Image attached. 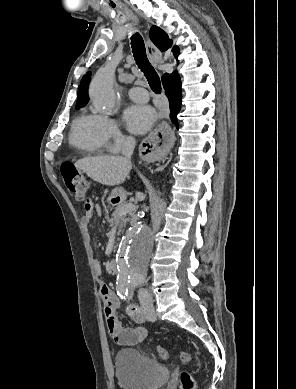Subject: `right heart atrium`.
Listing matches in <instances>:
<instances>
[{"label":"right heart atrium","instance_id":"right-heart-atrium-1","mask_svg":"<svg viewBox=\"0 0 296 389\" xmlns=\"http://www.w3.org/2000/svg\"><path fill=\"white\" fill-rule=\"evenodd\" d=\"M105 134L112 151L120 150L127 142V137L121 131L118 122L112 118H105Z\"/></svg>","mask_w":296,"mask_h":389}]
</instances>
